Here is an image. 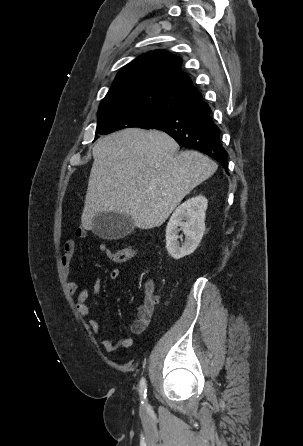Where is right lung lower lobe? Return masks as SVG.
<instances>
[{
    "instance_id": "right-lung-lower-lobe-1",
    "label": "right lung lower lobe",
    "mask_w": 303,
    "mask_h": 446,
    "mask_svg": "<svg viewBox=\"0 0 303 446\" xmlns=\"http://www.w3.org/2000/svg\"><path fill=\"white\" fill-rule=\"evenodd\" d=\"M140 128L162 130L173 137L180 146L212 157L228 172L227 152L221 145L219 128L211 119L210 107L202 99L160 115Z\"/></svg>"
}]
</instances>
